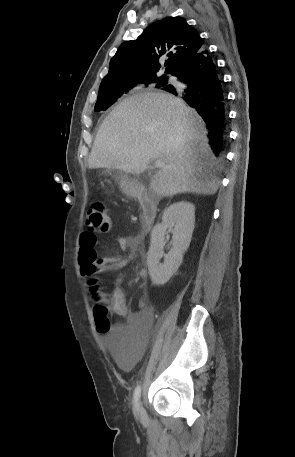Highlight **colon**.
Returning a JSON list of instances; mask_svg holds the SVG:
<instances>
[{
	"instance_id": "1",
	"label": "colon",
	"mask_w": 295,
	"mask_h": 457,
	"mask_svg": "<svg viewBox=\"0 0 295 457\" xmlns=\"http://www.w3.org/2000/svg\"><path fill=\"white\" fill-rule=\"evenodd\" d=\"M85 224L88 230L92 232H106L110 228V220L107 215L105 206L100 200H92L87 206ZM82 275L87 277L92 285L95 284V275L97 268L88 263L83 262L81 266ZM96 294L95 306H94V317L97 329L100 333L105 334L110 330V321L108 318V307L103 300L102 294L100 293L97 286H93Z\"/></svg>"
}]
</instances>
